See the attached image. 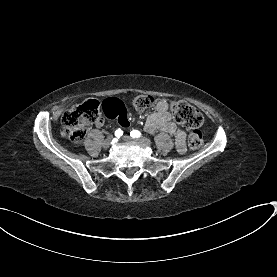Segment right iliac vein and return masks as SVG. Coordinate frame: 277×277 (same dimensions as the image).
<instances>
[{"instance_id":"right-iliac-vein-1","label":"right iliac vein","mask_w":277,"mask_h":277,"mask_svg":"<svg viewBox=\"0 0 277 277\" xmlns=\"http://www.w3.org/2000/svg\"><path fill=\"white\" fill-rule=\"evenodd\" d=\"M111 143H112L111 138L106 139V140L103 142V147H104V148H109L110 145H111Z\"/></svg>"}]
</instances>
